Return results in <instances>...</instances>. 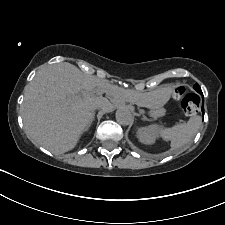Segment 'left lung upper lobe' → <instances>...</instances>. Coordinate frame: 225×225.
Returning a JSON list of instances; mask_svg holds the SVG:
<instances>
[{"mask_svg":"<svg viewBox=\"0 0 225 225\" xmlns=\"http://www.w3.org/2000/svg\"><path fill=\"white\" fill-rule=\"evenodd\" d=\"M194 89H195L198 93L202 92L198 84H195V85H194Z\"/></svg>","mask_w":225,"mask_h":225,"instance_id":"5c2ea615","label":"left lung upper lobe"}]
</instances>
